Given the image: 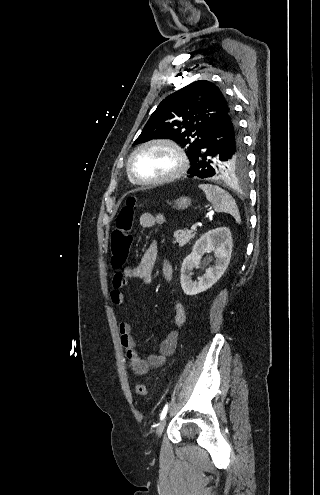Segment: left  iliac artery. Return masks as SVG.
<instances>
[{"mask_svg":"<svg viewBox=\"0 0 320 495\" xmlns=\"http://www.w3.org/2000/svg\"><path fill=\"white\" fill-rule=\"evenodd\" d=\"M167 410H168V404H166V405L164 406V408H163V410H162V412H161V414H160V419H161V420H162V419L166 416V414H167Z\"/></svg>","mask_w":320,"mask_h":495,"instance_id":"1","label":"left iliac artery"}]
</instances>
